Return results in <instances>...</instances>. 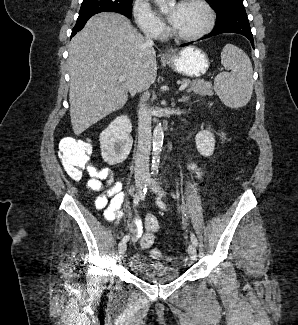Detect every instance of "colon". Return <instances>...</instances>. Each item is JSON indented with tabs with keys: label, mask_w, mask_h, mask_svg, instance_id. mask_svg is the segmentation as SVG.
<instances>
[{
	"label": "colon",
	"mask_w": 298,
	"mask_h": 325,
	"mask_svg": "<svg viewBox=\"0 0 298 325\" xmlns=\"http://www.w3.org/2000/svg\"><path fill=\"white\" fill-rule=\"evenodd\" d=\"M61 158L65 171L68 176L74 180H79L84 172H88L95 166L90 162V148L85 142L80 144L78 148L66 146L61 153ZM146 233L140 237L141 247L150 250V254L154 259H161L162 254L159 250L153 249V234L159 229L158 219L154 215H147L144 220Z\"/></svg>",
	"instance_id": "1"
}]
</instances>
